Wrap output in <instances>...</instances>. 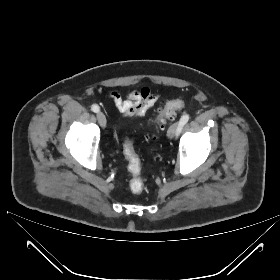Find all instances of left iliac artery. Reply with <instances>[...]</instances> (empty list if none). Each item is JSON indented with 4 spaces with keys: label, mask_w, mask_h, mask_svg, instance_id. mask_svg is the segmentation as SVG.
<instances>
[{
    "label": "left iliac artery",
    "mask_w": 280,
    "mask_h": 280,
    "mask_svg": "<svg viewBox=\"0 0 280 280\" xmlns=\"http://www.w3.org/2000/svg\"><path fill=\"white\" fill-rule=\"evenodd\" d=\"M188 120H189L188 114H184L181 116L180 121H179L180 128H179L178 134L180 133L182 127L188 122Z\"/></svg>",
    "instance_id": "obj_1"
}]
</instances>
